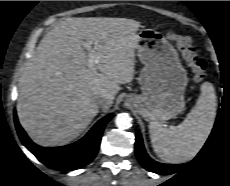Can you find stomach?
<instances>
[{
    "mask_svg": "<svg viewBox=\"0 0 230 186\" xmlns=\"http://www.w3.org/2000/svg\"><path fill=\"white\" fill-rule=\"evenodd\" d=\"M137 53L144 67L139 76L142 94H129L126 101L147 121H165L184 108L188 83L177 50L159 32L142 29L137 33Z\"/></svg>",
    "mask_w": 230,
    "mask_h": 186,
    "instance_id": "0dacf381",
    "label": "stomach"
}]
</instances>
